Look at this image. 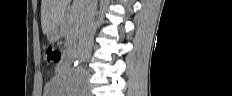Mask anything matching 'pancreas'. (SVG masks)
<instances>
[{
  "label": "pancreas",
  "mask_w": 232,
  "mask_h": 96,
  "mask_svg": "<svg viewBox=\"0 0 232 96\" xmlns=\"http://www.w3.org/2000/svg\"><path fill=\"white\" fill-rule=\"evenodd\" d=\"M62 36L65 39V51L70 52L76 48L79 36V22L77 17L66 16L61 23Z\"/></svg>",
  "instance_id": "obj_1"
}]
</instances>
